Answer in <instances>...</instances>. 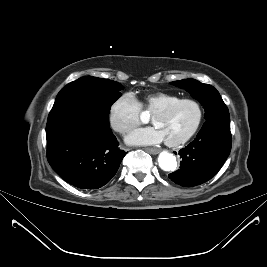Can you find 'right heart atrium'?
<instances>
[{
	"mask_svg": "<svg viewBox=\"0 0 267 267\" xmlns=\"http://www.w3.org/2000/svg\"><path fill=\"white\" fill-rule=\"evenodd\" d=\"M108 117L115 131L127 134L140 124L141 105L132 93H123L111 103Z\"/></svg>",
	"mask_w": 267,
	"mask_h": 267,
	"instance_id": "right-heart-atrium-1",
	"label": "right heart atrium"
}]
</instances>
